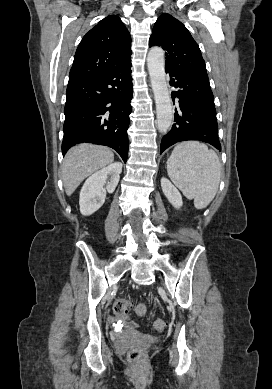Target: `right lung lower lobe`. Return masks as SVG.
Masks as SVG:
<instances>
[{"label": "right lung lower lobe", "mask_w": 272, "mask_h": 389, "mask_svg": "<svg viewBox=\"0 0 272 389\" xmlns=\"http://www.w3.org/2000/svg\"><path fill=\"white\" fill-rule=\"evenodd\" d=\"M64 108L63 154L76 143H95L128 157L133 96L131 59L104 72L71 78Z\"/></svg>", "instance_id": "obj_1"}]
</instances>
